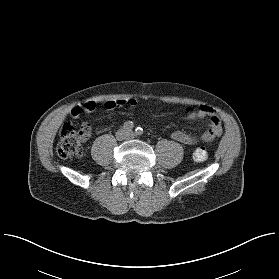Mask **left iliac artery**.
Returning a JSON list of instances; mask_svg holds the SVG:
<instances>
[{
  "mask_svg": "<svg viewBox=\"0 0 279 279\" xmlns=\"http://www.w3.org/2000/svg\"><path fill=\"white\" fill-rule=\"evenodd\" d=\"M135 133H136V135H142L143 129L141 127H138V128H136Z\"/></svg>",
  "mask_w": 279,
  "mask_h": 279,
  "instance_id": "left-iliac-artery-1",
  "label": "left iliac artery"
}]
</instances>
